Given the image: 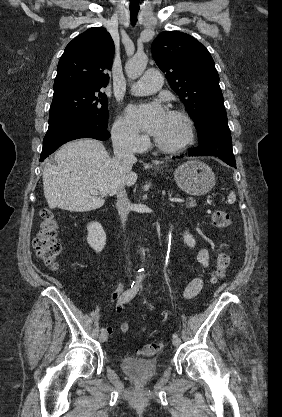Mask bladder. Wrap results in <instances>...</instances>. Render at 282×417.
I'll return each mask as SVG.
<instances>
[{"instance_id": "1", "label": "bladder", "mask_w": 282, "mask_h": 417, "mask_svg": "<svg viewBox=\"0 0 282 417\" xmlns=\"http://www.w3.org/2000/svg\"><path fill=\"white\" fill-rule=\"evenodd\" d=\"M120 370L136 383L145 384L151 381L159 372L156 359H144L126 355L120 360Z\"/></svg>"}]
</instances>
